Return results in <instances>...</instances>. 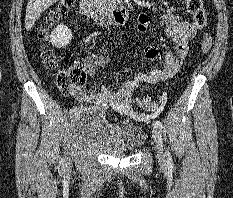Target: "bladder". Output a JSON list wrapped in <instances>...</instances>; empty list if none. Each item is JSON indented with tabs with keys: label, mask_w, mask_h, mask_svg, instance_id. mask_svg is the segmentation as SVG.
Returning <instances> with one entry per match:
<instances>
[{
	"label": "bladder",
	"mask_w": 233,
	"mask_h": 198,
	"mask_svg": "<svg viewBox=\"0 0 233 198\" xmlns=\"http://www.w3.org/2000/svg\"><path fill=\"white\" fill-rule=\"evenodd\" d=\"M73 128L78 144L117 157L135 152L144 142L141 127L132 123L113 124L105 112L97 108L80 109Z\"/></svg>",
	"instance_id": "obj_1"
}]
</instances>
